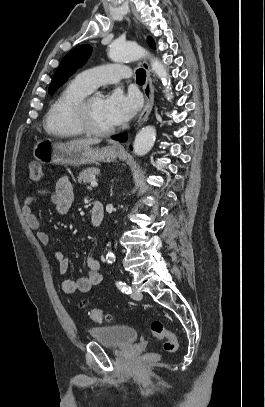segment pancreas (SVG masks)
I'll use <instances>...</instances> for the list:
<instances>
[{
	"mask_svg": "<svg viewBox=\"0 0 265 407\" xmlns=\"http://www.w3.org/2000/svg\"><path fill=\"white\" fill-rule=\"evenodd\" d=\"M99 173V169L98 168H87L85 170H83L78 177V183H89L93 180H95V175H97Z\"/></svg>",
	"mask_w": 265,
	"mask_h": 407,
	"instance_id": "1",
	"label": "pancreas"
}]
</instances>
